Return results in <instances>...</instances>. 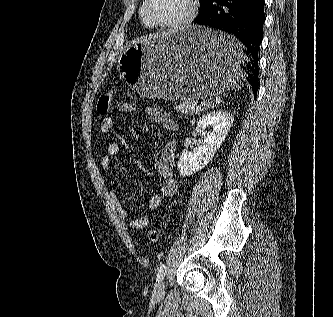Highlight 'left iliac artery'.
<instances>
[{
    "instance_id": "left-iliac-artery-1",
    "label": "left iliac artery",
    "mask_w": 333,
    "mask_h": 317,
    "mask_svg": "<svg viewBox=\"0 0 333 317\" xmlns=\"http://www.w3.org/2000/svg\"><path fill=\"white\" fill-rule=\"evenodd\" d=\"M165 274H166V265L162 264L157 273V281L163 279Z\"/></svg>"
}]
</instances>
